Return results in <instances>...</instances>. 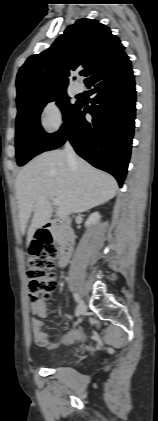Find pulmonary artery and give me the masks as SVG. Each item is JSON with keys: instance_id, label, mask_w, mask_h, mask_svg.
Instances as JSON below:
<instances>
[{"instance_id": "1", "label": "pulmonary artery", "mask_w": 158, "mask_h": 421, "mask_svg": "<svg viewBox=\"0 0 158 421\" xmlns=\"http://www.w3.org/2000/svg\"><path fill=\"white\" fill-rule=\"evenodd\" d=\"M83 89H84V87H83V85L80 82H76L73 85V91L76 94L81 93L83 91Z\"/></svg>"}]
</instances>
